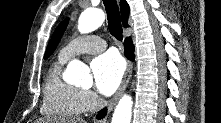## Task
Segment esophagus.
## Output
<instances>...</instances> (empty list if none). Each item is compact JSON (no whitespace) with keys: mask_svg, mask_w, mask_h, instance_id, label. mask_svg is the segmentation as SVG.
Segmentation results:
<instances>
[{"mask_svg":"<svg viewBox=\"0 0 221 123\" xmlns=\"http://www.w3.org/2000/svg\"><path fill=\"white\" fill-rule=\"evenodd\" d=\"M132 70H133V63L131 61H128L127 68H126V71L124 73L121 84H120L117 92L115 93V95L112 97V99L110 100V102L108 104V108H107L108 113H110L113 110V108L117 104L119 98L121 97V95L125 91L128 83L130 81V78H131V75H132Z\"/></svg>","mask_w":221,"mask_h":123,"instance_id":"obj_1","label":"esophagus"}]
</instances>
